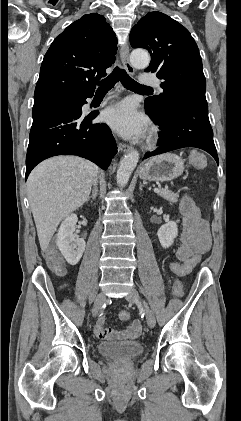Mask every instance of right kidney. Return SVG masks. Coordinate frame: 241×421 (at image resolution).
Segmentation results:
<instances>
[{
  "mask_svg": "<svg viewBox=\"0 0 241 421\" xmlns=\"http://www.w3.org/2000/svg\"><path fill=\"white\" fill-rule=\"evenodd\" d=\"M78 219L75 214L68 215L62 222L57 234V246L70 265H76L85 250V241L74 234Z\"/></svg>",
  "mask_w": 241,
  "mask_h": 421,
  "instance_id": "1",
  "label": "right kidney"
}]
</instances>
